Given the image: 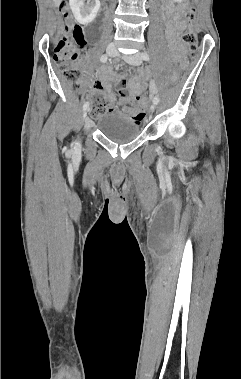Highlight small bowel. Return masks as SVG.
Here are the masks:
<instances>
[{"label": "small bowel", "instance_id": "obj_1", "mask_svg": "<svg viewBox=\"0 0 241 379\" xmlns=\"http://www.w3.org/2000/svg\"><path fill=\"white\" fill-rule=\"evenodd\" d=\"M166 13L169 19L167 24V36L172 47L173 58L179 60L181 58L182 49L176 41V36L182 32L186 23L183 21L181 13L175 10L171 5H166ZM98 79L94 82H89V85L99 93L105 94L111 102H115V96L110 89V83L112 81L117 84L123 83V78L111 76L110 70L106 67H101L97 71ZM128 89H124L125 94H121L119 104L121 111L132 121V125H143V121H146L149 117V110H141L144 103L139 98V93L144 92L145 82L144 77H135L128 81ZM121 90V89H120Z\"/></svg>", "mask_w": 241, "mask_h": 379}]
</instances>
